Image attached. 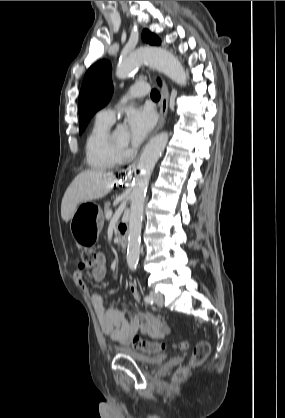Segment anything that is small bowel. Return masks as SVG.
I'll return each mask as SVG.
<instances>
[{
	"label": "small bowel",
	"instance_id": "c3829d8e",
	"mask_svg": "<svg viewBox=\"0 0 285 418\" xmlns=\"http://www.w3.org/2000/svg\"><path fill=\"white\" fill-rule=\"evenodd\" d=\"M107 276V266L104 255L99 254L92 270L73 274L74 280L84 285L87 277L97 283H102ZM129 290L135 299L139 298V292L135 284L129 285ZM91 302L99 321L102 332L109 339L120 346L129 345L132 337L140 332L153 338H164L170 331L168 324L151 314L132 312L118 307L105 308L103 298L99 293L91 294Z\"/></svg>",
	"mask_w": 285,
	"mask_h": 418
}]
</instances>
